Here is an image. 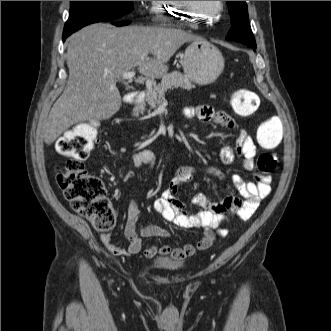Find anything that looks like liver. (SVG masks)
<instances>
[{
  "label": "liver",
  "mask_w": 331,
  "mask_h": 331,
  "mask_svg": "<svg viewBox=\"0 0 331 331\" xmlns=\"http://www.w3.org/2000/svg\"><path fill=\"white\" fill-rule=\"evenodd\" d=\"M201 39L173 28L102 23L75 32L67 40V85L43 126L45 143L78 122L111 118L122 104L116 82L123 73L137 68L148 78H161L184 43Z\"/></svg>",
  "instance_id": "liver-1"
}]
</instances>
